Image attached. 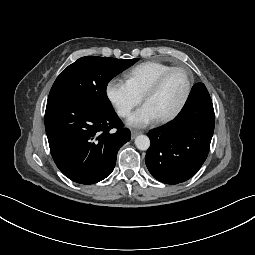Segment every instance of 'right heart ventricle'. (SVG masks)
<instances>
[{
    "mask_svg": "<svg viewBox=\"0 0 255 255\" xmlns=\"http://www.w3.org/2000/svg\"><path fill=\"white\" fill-rule=\"evenodd\" d=\"M173 66L158 62L147 61L133 67L126 75L127 82L142 96L156 79Z\"/></svg>",
    "mask_w": 255,
    "mask_h": 255,
    "instance_id": "obj_1",
    "label": "right heart ventricle"
}]
</instances>
